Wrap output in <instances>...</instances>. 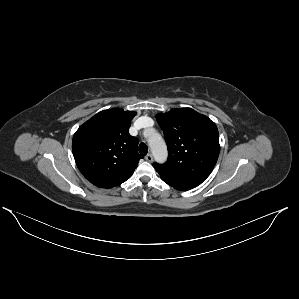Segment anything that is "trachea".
I'll return each instance as SVG.
<instances>
[{
  "label": "trachea",
  "mask_w": 299,
  "mask_h": 299,
  "mask_svg": "<svg viewBox=\"0 0 299 299\" xmlns=\"http://www.w3.org/2000/svg\"><path fill=\"white\" fill-rule=\"evenodd\" d=\"M139 152H140L141 155H146L148 153V147H147V145L144 144V143H141L139 145Z\"/></svg>",
  "instance_id": "obj_1"
}]
</instances>
